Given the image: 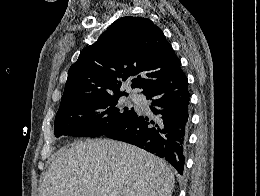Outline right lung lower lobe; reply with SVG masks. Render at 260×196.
Wrapping results in <instances>:
<instances>
[{
	"mask_svg": "<svg viewBox=\"0 0 260 196\" xmlns=\"http://www.w3.org/2000/svg\"><path fill=\"white\" fill-rule=\"evenodd\" d=\"M142 93L150 100L154 116L139 115L105 136L143 148L165 159L182 174L189 128L187 77L181 69L173 78L153 84Z\"/></svg>",
	"mask_w": 260,
	"mask_h": 196,
	"instance_id": "right-lung-lower-lobe-1",
	"label": "right lung lower lobe"
}]
</instances>
